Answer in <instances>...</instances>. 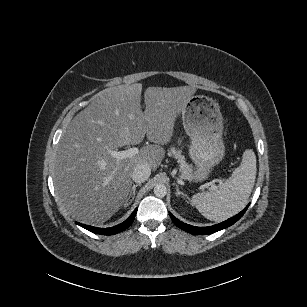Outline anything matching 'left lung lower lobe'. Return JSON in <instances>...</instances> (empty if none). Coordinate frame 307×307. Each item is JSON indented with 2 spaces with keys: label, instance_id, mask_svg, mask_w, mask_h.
<instances>
[{
  "label": "left lung lower lobe",
  "instance_id": "obj_1",
  "mask_svg": "<svg viewBox=\"0 0 307 307\" xmlns=\"http://www.w3.org/2000/svg\"><path fill=\"white\" fill-rule=\"evenodd\" d=\"M247 210V207L242 210L239 214H237L236 216L213 226H209V227H195V226H191L188 225L186 223L181 222L180 220H178L177 218H175L171 213H169L172 221L174 222L175 225H177L179 228H181L182 230L189 232L191 234H196V235H204V234H211L214 232H217L219 230H222L224 228H227L229 226H231L232 224H234L236 221H238L242 215L245 213V211Z\"/></svg>",
  "mask_w": 307,
  "mask_h": 307
}]
</instances>
